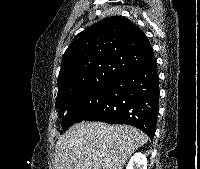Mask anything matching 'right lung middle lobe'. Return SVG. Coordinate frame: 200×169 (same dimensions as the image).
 <instances>
[{
    "label": "right lung middle lobe",
    "mask_w": 200,
    "mask_h": 169,
    "mask_svg": "<svg viewBox=\"0 0 200 169\" xmlns=\"http://www.w3.org/2000/svg\"><path fill=\"white\" fill-rule=\"evenodd\" d=\"M117 79L97 81L72 96L56 100V107L60 109L62 128L67 129L74 123L83 121L104 102L110 89Z\"/></svg>",
    "instance_id": "1"
}]
</instances>
